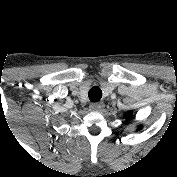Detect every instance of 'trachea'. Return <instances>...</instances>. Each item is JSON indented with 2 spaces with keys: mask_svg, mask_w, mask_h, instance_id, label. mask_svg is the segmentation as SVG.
<instances>
[{
  "mask_svg": "<svg viewBox=\"0 0 177 177\" xmlns=\"http://www.w3.org/2000/svg\"><path fill=\"white\" fill-rule=\"evenodd\" d=\"M88 96L91 102H98L102 97V91L98 86H94L89 90Z\"/></svg>",
  "mask_w": 177,
  "mask_h": 177,
  "instance_id": "1",
  "label": "trachea"
}]
</instances>
